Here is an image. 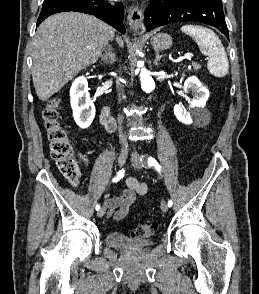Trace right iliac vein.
I'll return each mask as SVG.
<instances>
[{
    "mask_svg": "<svg viewBox=\"0 0 259 294\" xmlns=\"http://www.w3.org/2000/svg\"><path fill=\"white\" fill-rule=\"evenodd\" d=\"M127 157H128V149L127 148H123L118 156V165L120 167H122L126 160H127ZM106 212V208L103 206L98 212H97V216L99 218H102L104 216Z\"/></svg>",
    "mask_w": 259,
    "mask_h": 294,
    "instance_id": "right-iliac-vein-1",
    "label": "right iliac vein"
}]
</instances>
